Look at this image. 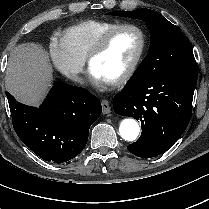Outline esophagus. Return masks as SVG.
<instances>
[{
    "label": "esophagus",
    "mask_w": 209,
    "mask_h": 209,
    "mask_svg": "<svg viewBox=\"0 0 209 209\" xmlns=\"http://www.w3.org/2000/svg\"><path fill=\"white\" fill-rule=\"evenodd\" d=\"M102 109H103V114H109L111 112V107L110 104L107 100H102L101 101Z\"/></svg>",
    "instance_id": "34e87169"
}]
</instances>
